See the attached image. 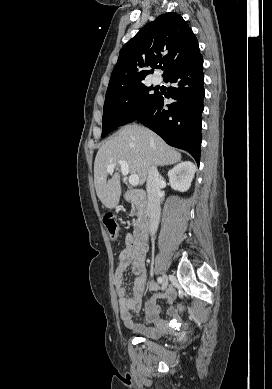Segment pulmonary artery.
Wrapping results in <instances>:
<instances>
[{
	"label": "pulmonary artery",
	"instance_id": "1",
	"mask_svg": "<svg viewBox=\"0 0 272 389\" xmlns=\"http://www.w3.org/2000/svg\"><path fill=\"white\" fill-rule=\"evenodd\" d=\"M153 82H154L155 84L160 83V78L154 77V78H153Z\"/></svg>",
	"mask_w": 272,
	"mask_h": 389
}]
</instances>
